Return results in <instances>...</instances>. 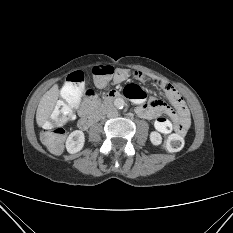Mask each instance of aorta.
<instances>
[{
    "label": "aorta",
    "instance_id": "762f6f07",
    "mask_svg": "<svg viewBox=\"0 0 233 233\" xmlns=\"http://www.w3.org/2000/svg\"><path fill=\"white\" fill-rule=\"evenodd\" d=\"M114 105L116 108L118 109H123L124 105H125V101L123 98H116L114 100Z\"/></svg>",
    "mask_w": 233,
    "mask_h": 233
}]
</instances>
